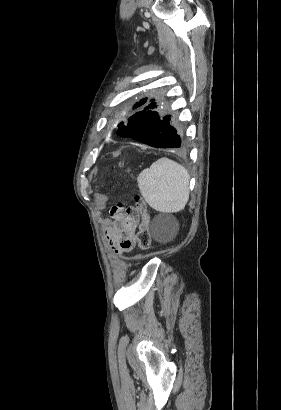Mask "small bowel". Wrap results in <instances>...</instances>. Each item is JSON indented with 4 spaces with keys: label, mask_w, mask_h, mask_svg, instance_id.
Segmentation results:
<instances>
[{
    "label": "small bowel",
    "mask_w": 281,
    "mask_h": 410,
    "mask_svg": "<svg viewBox=\"0 0 281 410\" xmlns=\"http://www.w3.org/2000/svg\"><path fill=\"white\" fill-rule=\"evenodd\" d=\"M113 218L106 231L107 240L116 255L129 253L135 245L139 218L135 214Z\"/></svg>",
    "instance_id": "1"
}]
</instances>
